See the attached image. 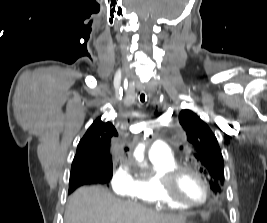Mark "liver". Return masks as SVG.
<instances>
[{
	"label": "liver",
	"mask_w": 267,
	"mask_h": 223,
	"mask_svg": "<svg viewBox=\"0 0 267 223\" xmlns=\"http://www.w3.org/2000/svg\"><path fill=\"white\" fill-rule=\"evenodd\" d=\"M184 215L160 213L112 196L102 186L82 187L69 198L65 223H185Z\"/></svg>",
	"instance_id": "liver-1"
}]
</instances>
